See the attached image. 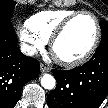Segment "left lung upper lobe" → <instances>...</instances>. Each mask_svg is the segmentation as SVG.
<instances>
[{
    "label": "left lung upper lobe",
    "mask_w": 108,
    "mask_h": 108,
    "mask_svg": "<svg viewBox=\"0 0 108 108\" xmlns=\"http://www.w3.org/2000/svg\"><path fill=\"white\" fill-rule=\"evenodd\" d=\"M100 26L102 29V38L99 47L97 48L95 53L104 52L108 53V22L106 20H102L100 22Z\"/></svg>",
    "instance_id": "1"
}]
</instances>
